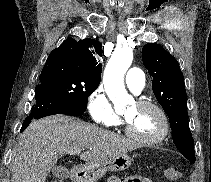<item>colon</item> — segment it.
Masks as SVG:
<instances>
[{"label":"colon","instance_id":"5ec220e1","mask_svg":"<svg viewBox=\"0 0 211 182\" xmlns=\"http://www.w3.org/2000/svg\"><path fill=\"white\" fill-rule=\"evenodd\" d=\"M164 175L169 180H176L180 177V172L177 169L171 167V168H167L164 171ZM51 182H63V181L60 179H54Z\"/></svg>","mask_w":211,"mask_h":182}]
</instances>
